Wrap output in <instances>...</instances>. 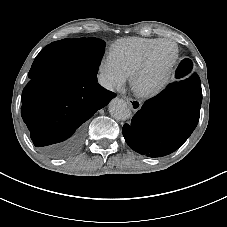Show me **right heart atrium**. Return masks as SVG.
I'll list each match as a JSON object with an SVG mask.
<instances>
[{
	"mask_svg": "<svg viewBox=\"0 0 227 227\" xmlns=\"http://www.w3.org/2000/svg\"><path fill=\"white\" fill-rule=\"evenodd\" d=\"M99 72L104 87L110 91L119 90L127 79L126 72L109 57L101 60Z\"/></svg>",
	"mask_w": 227,
	"mask_h": 227,
	"instance_id": "right-heart-atrium-1",
	"label": "right heart atrium"
}]
</instances>
